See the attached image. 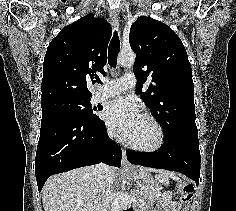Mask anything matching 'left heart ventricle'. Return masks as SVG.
<instances>
[{"mask_svg":"<svg viewBox=\"0 0 236 211\" xmlns=\"http://www.w3.org/2000/svg\"><path fill=\"white\" fill-rule=\"evenodd\" d=\"M125 137L135 144L150 146L157 140V131L149 121L142 117Z\"/></svg>","mask_w":236,"mask_h":211,"instance_id":"left-heart-ventricle-1","label":"left heart ventricle"}]
</instances>
